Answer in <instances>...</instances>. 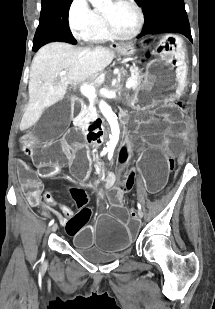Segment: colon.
Masks as SVG:
<instances>
[{
	"label": "colon",
	"instance_id": "colon-1",
	"mask_svg": "<svg viewBox=\"0 0 215 309\" xmlns=\"http://www.w3.org/2000/svg\"><path fill=\"white\" fill-rule=\"evenodd\" d=\"M41 158H43L44 160L42 161V163L40 164V170L41 172L44 173H48V172H52L55 170L56 166H57V162L53 157L50 156H42ZM44 199L45 200H50L51 199V194L50 192H45L44 193ZM88 210L85 212H82L79 215V219L80 220H87L88 219Z\"/></svg>",
	"mask_w": 215,
	"mask_h": 309
}]
</instances>
